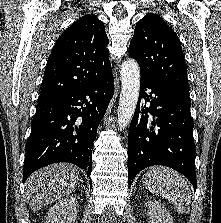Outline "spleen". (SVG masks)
<instances>
[{
	"instance_id": "3e777b00",
	"label": "spleen",
	"mask_w": 221,
	"mask_h": 223,
	"mask_svg": "<svg viewBox=\"0 0 221 223\" xmlns=\"http://www.w3.org/2000/svg\"><path fill=\"white\" fill-rule=\"evenodd\" d=\"M142 181L146 189L166 198L179 213H188L190 188L182 175L168 168L154 167L143 176Z\"/></svg>"
}]
</instances>
